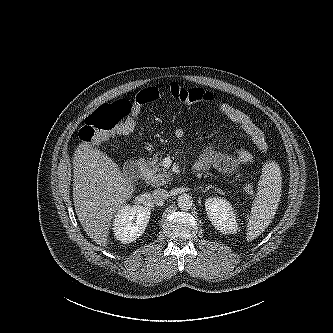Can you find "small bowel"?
Wrapping results in <instances>:
<instances>
[{
  "label": "small bowel",
  "mask_w": 333,
  "mask_h": 333,
  "mask_svg": "<svg viewBox=\"0 0 333 333\" xmlns=\"http://www.w3.org/2000/svg\"><path fill=\"white\" fill-rule=\"evenodd\" d=\"M218 109L243 132L245 137L248 138L260 152L264 153L267 151L268 144L264 133L245 112L227 102L220 103ZM174 135L177 139H183L186 135V131L179 127L174 131ZM252 160V154L244 148H239L235 154L230 155L208 147L198 157L195 163V169L203 171L214 167L224 174H232L242 165L250 164Z\"/></svg>",
  "instance_id": "small-bowel-1"
}]
</instances>
